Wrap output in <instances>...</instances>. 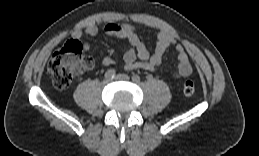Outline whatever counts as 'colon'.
Returning <instances> with one entry per match:
<instances>
[{
  "instance_id": "1",
  "label": "colon",
  "mask_w": 259,
  "mask_h": 156,
  "mask_svg": "<svg viewBox=\"0 0 259 156\" xmlns=\"http://www.w3.org/2000/svg\"><path fill=\"white\" fill-rule=\"evenodd\" d=\"M92 64V59L83 53L82 45L77 40H70L52 55L47 73L56 88L65 89L76 75L91 68ZM194 92V83L186 81L183 84V93L190 96Z\"/></svg>"
}]
</instances>
